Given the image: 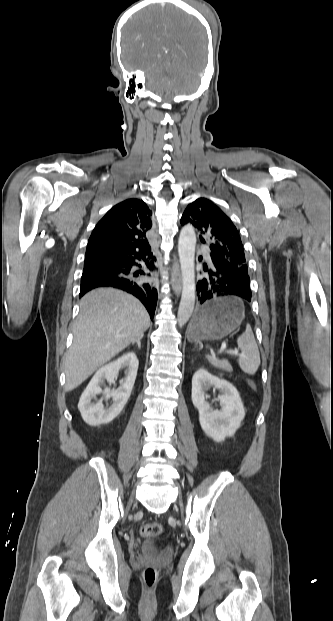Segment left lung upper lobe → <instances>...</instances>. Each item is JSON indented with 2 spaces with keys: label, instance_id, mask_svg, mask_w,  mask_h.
Returning a JSON list of instances; mask_svg holds the SVG:
<instances>
[{
  "label": "left lung upper lobe",
  "instance_id": "1",
  "mask_svg": "<svg viewBox=\"0 0 333 621\" xmlns=\"http://www.w3.org/2000/svg\"><path fill=\"white\" fill-rule=\"evenodd\" d=\"M192 224L209 238L210 252L230 261L236 268L247 270L243 245L231 219L212 201L199 198L190 203L182 217L181 224ZM200 240L204 242L202 236Z\"/></svg>",
  "mask_w": 333,
  "mask_h": 621
}]
</instances>
